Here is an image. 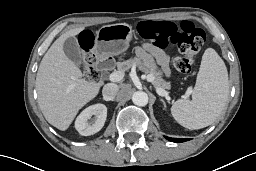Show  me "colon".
<instances>
[{
	"label": "colon",
	"instance_id": "5ec220e1",
	"mask_svg": "<svg viewBox=\"0 0 256 171\" xmlns=\"http://www.w3.org/2000/svg\"><path fill=\"white\" fill-rule=\"evenodd\" d=\"M138 32L153 47L163 49L169 44L177 45L180 56L174 59L173 65L183 74H189L192 71L194 61L206 40L205 32L189 20L178 23L167 20H143L138 24ZM93 42V34L88 30L82 31L79 43L83 50L84 73L90 80H97L100 73L95 65Z\"/></svg>",
	"mask_w": 256,
	"mask_h": 171
}]
</instances>
